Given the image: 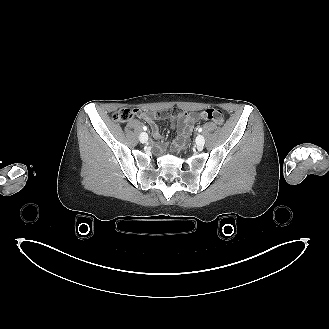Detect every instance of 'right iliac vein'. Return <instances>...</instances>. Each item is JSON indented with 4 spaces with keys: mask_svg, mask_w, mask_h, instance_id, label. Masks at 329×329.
Returning a JSON list of instances; mask_svg holds the SVG:
<instances>
[{
    "mask_svg": "<svg viewBox=\"0 0 329 329\" xmlns=\"http://www.w3.org/2000/svg\"><path fill=\"white\" fill-rule=\"evenodd\" d=\"M139 140L141 143H146L148 140V134L146 132H142L139 136Z\"/></svg>",
    "mask_w": 329,
    "mask_h": 329,
    "instance_id": "63e3f726",
    "label": "right iliac vein"
}]
</instances>
